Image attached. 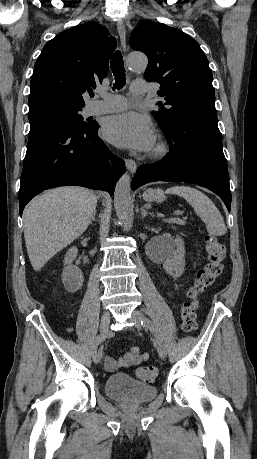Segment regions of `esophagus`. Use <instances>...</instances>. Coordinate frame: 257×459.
Returning a JSON list of instances; mask_svg holds the SVG:
<instances>
[{
  "mask_svg": "<svg viewBox=\"0 0 257 459\" xmlns=\"http://www.w3.org/2000/svg\"><path fill=\"white\" fill-rule=\"evenodd\" d=\"M117 32L120 38L122 50L123 52H126V30L122 21L117 22ZM125 165L131 173H135L137 164L133 159H125Z\"/></svg>",
  "mask_w": 257,
  "mask_h": 459,
  "instance_id": "esophagus-1",
  "label": "esophagus"
}]
</instances>
